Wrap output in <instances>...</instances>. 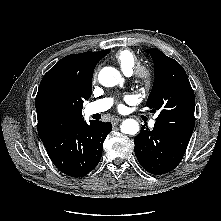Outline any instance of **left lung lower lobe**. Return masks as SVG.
Returning a JSON list of instances; mask_svg holds the SVG:
<instances>
[{
  "instance_id": "left-lung-lower-lobe-1",
  "label": "left lung lower lobe",
  "mask_w": 221,
  "mask_h": 221,
  "mask_svg": "<svg viewBox=\"0 0 221 221\" xmlns=\"http://www.w3.org/2000/svg\"><path fill=\"white\" fill-rule=\"evenodd\" d=\"M191 135H183L154 125L152 131L142 126L134 139V150L141 166L151 174L173 170L181 161Z\"/></svg>"
}]
</instances>
